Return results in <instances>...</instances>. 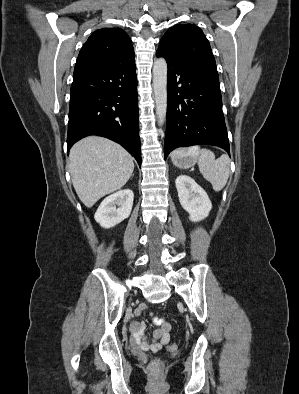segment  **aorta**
<instances>
[{
  "instance_id": "1",
  "label": "aorta",
  "mask_w": 299,
  "mask_h": 394,
  "mask_svg": "<svg viewBox=\"0 0 299 394\" xmlns=\"http://www.w3.org/2000/svg\"><path fill=\"white\" fill-rule=\"evenodd\" d=\"M153 89L158 124L162 125L167 111V62L164 58H158L154 62Z\"/></svg>"
}]
</instances>
